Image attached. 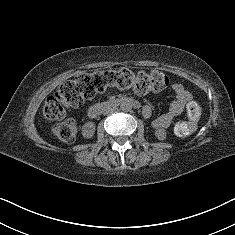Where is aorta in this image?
I'll use <instances>...</instances> for the list:
<instances>
[{
	"instance_id": "obj_1",
	"label": "aorta",
	"mask_w": 235,
	"mask_h": 235,
	"mask_svg": "<svg viewBox=\"0 0 235 235\" xmlns=\"http://www.w3.org/2000/svg\"><path fill=\"white\" fill-rule=\"evenodd\" d=\"M121 108H122V110H124V111H129V109H130V106H129V104H122V106H121Z\"/></svg>"
}]
</instances>
